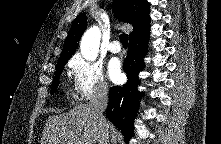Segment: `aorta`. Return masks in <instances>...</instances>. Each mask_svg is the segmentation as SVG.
<instances>
[{
    "instance_id": "762f6f07",
    "label": "aorta",
    "mask_w": 221,
    "mask_h": 144,
    "mask_svg": "<svg viewBox=\"0 0 221 144\" xmlns=\"http://www.w3.org/2000/svg\"><path fill=\"white\" fill-rule=\"evenodd\" d=\"M101 32L97 26L89 28L83 35L80 42L82 56L87 61L96 60L99 53Z\"/></svg>"
}]
</instances>
